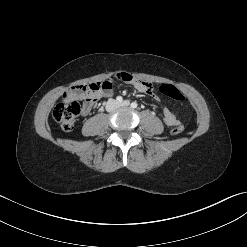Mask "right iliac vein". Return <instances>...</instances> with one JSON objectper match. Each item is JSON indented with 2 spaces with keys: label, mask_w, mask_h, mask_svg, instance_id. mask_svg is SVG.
Here are the masks:
<instances>
[{
  "label": "right iliac vein",
  "mask_w": 247,
  "mask_h": 247,
  "mask_svg": "<svg viewBox=\"0 0 247 247\" xmlns=\"http://www.w3.org/2000/svg\"><path fill=\"white\" fill-rule=\"evenodd\" d=\"M116 105H117V103H116L115 101H110L109 104H108V107H109L110 109H113V108L116 107Z\"/></svg>",
  "instance_id": "obj_1"
}]
</instances>
